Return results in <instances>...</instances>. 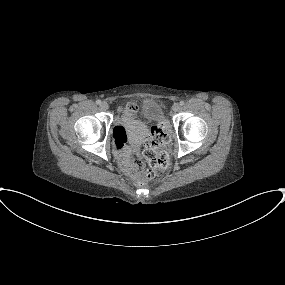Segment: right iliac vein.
I'll use <instances>...</instances> for the list:
<instances>
[{
	"label": "right iliac vein",
	"mask_w": 285,
	"mask_h": 285,
	"mask_svg": "<svg viewBox=\"0 0 285 285\" xmlns=\"http://www.w3.org/2000/svg\"><path fill=\"white\" fill-rule=\"evenodd\" d=\"M100 107H101V109H103V110H107V109L109 108V105H108L106 102H102V103L100 104Z\"/></svg>",
	"instance_id": "right-iliac-vein-1"
}]
</instances>
